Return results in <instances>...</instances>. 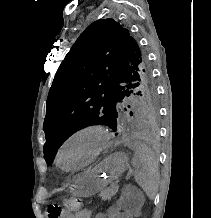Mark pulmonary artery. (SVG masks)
<instances>
[{"label": "pulmonary artery", "mask_w": 211, "mask_h": 218, "mask_svg": "<svg viewBox=\"0 0 211 218\" xmlns=\"http://www.w3.org/2000/svg\"><path fill=\"white\" fill-rule=\"evenodd\" d=\"M112 94H113V95H116V94H117V91H116V90H113V91H112Z\"/></svg>", "instance_id": "pulmonary-artery-1"}]
</instances>
